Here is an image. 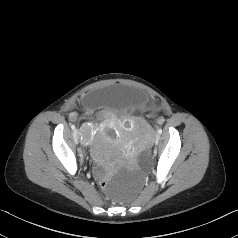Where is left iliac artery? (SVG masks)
I'll return each mask as SVG.
<instances>
[{"label": "left iliac artery", "instance_id": "left-iliac-artery-1", "mask_svg": "<svg viewBox=\"0 0 238 238\" xmlns=\"http://www.w3.org/2000/svg\"><path fill=\"white\" fill-rule=\"evenodd\" d=\"M158 133L161 134L162 133V129H158Z\"/></svg>", "mask_w": 238, "mask_h": 238}]
</instances>
